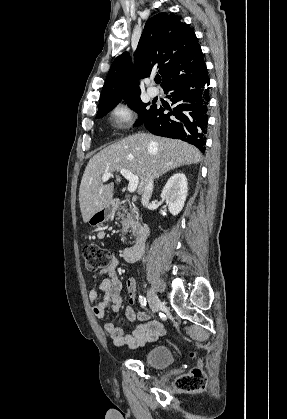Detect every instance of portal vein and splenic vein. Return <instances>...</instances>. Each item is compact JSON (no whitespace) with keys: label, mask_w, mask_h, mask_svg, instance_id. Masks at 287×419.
<instances>
[{"label":"portal vein and splenic vein","mask_w":287,"mask_h":419,"mask_svg":"<svg viewBox=\"0 0 287 419\" xmlns=\"http://www.w3.org/2000/svg\"><path fill=\"white\" fill-rule=\"evenodd\" d=\"M119 172L122 174V176L129 181L128 184V191L130 193L135 192L139 183V177L137 175H134L131 171L126 169H120ZM112 176L111 172H107L102 175V181L106 182L110 179Z\"/></svg>","instance_id":"portal-vein-and-splenic-vein-1"}]
</instances>
